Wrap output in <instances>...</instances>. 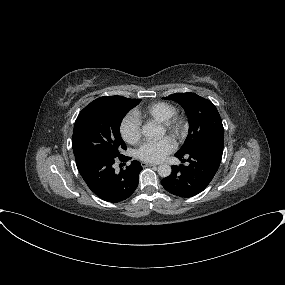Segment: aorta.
<instances>
[{"instance_id": "1", "label": "aorta", "mask_w": 285, "mask_h": 285, "mask_svg": "<svg viewBox=\"0 0 285 285\" xmlns=\"http://www.w3.org/2000/svg\"><path fill=\"white\" fill-rule=\"evenodd\" d=\"M142 134L148 139H153L159 138L161 136V131L155 125L147 124L143 127ZM171 172L172 169L168 164H161L158 167V174L163 178L170 176Z\"/></svg>"}]
</instances>
